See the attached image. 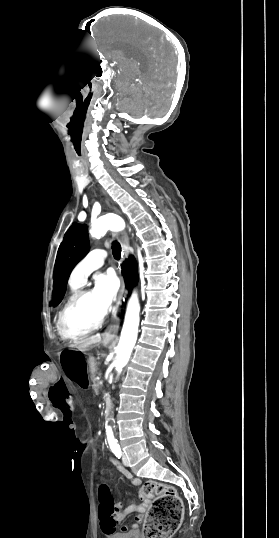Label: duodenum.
<instances>
[{"mask_svg": "<svg viewBox=\"0 0 279 538\" xmlns=\"http://www.w3.org/2000/svg\"><path fill=\"white\" fill-rule=\"evenodd\" d=\"M91 372L93 374H96L98 372L97 365H92ZM112 403H113V398H108V400H103L101 402V405L103 407H107L106 414H111ZM109 427H112V424H109Z\"/></svg>", "mask_w": 279, "mask_h": 538, "instance_id": "1", "label": "duodenum"}]
</instances>
